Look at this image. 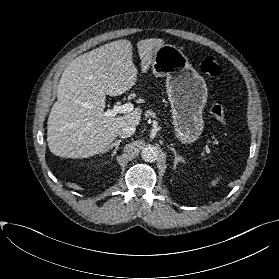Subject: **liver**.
Listing matches in <instances>:
<instances>
[{
    "instance_id": "liver-1",
    "label": "liver",
    "mask_w": 279,
    "mask_h": 279,
    "mask_svg": "<svg viewBox=\"0 0 279 279\" xmlns=\"http://www.w3.org/2000/svg\"><path fill=\"white\" fill-rule=\"evenodd\" d=\"M162 39H145L137 43L141 71L153 63L155 50ZM137 80L132 60V44L121 39L84 53L64 70L57 89V101L48 117L49 150L65 158H87L103 153L119 131L127 125L137 126L141 110L123 116H105L106 95L119 96Z\"/></svg>"
}]
</instances>
